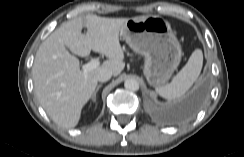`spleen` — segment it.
I'll list each match as a JSON object with an SVG mask.
<instances>
[{
    "instance_id": "3e777b00",
    "label": "spleen",
    "mask_w": 244,
    "mask_h": 157,
    "mask_svg": "<svg viewBox=\"0 0 244 157\" xmlns=\"http://www.w3.org/2000/svg\"><path fill=\"white\" fill-rule=\"evenodd\" d=\"M203 65L202 50L196 49L191 54L186 65L177 73L169 84L156 87V92L168 100L178 99L197 80Z\"/></svg>"
}]
</instances>
